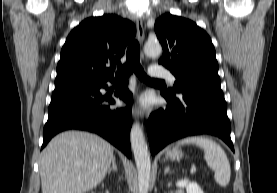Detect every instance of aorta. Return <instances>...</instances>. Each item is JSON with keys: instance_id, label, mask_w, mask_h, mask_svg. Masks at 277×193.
<instances>
[{"instance_id": "obj_1", "label": "aorta", "mask_w": 277, "mask_h": 193, "mask_svg": "<svg viewBox=\"0 0 277 193\" xmlns=\"http://www.w3.org/2000/svg\"><path fill=\"white\" fill-rule=\"evenodd\" d=\"M162 47L158 42L146 43L144 53L150 57L159 56ZM130 142L138 171L139 193H147L150 183L151 160L141 125L136 122L130 132Z\"/></svg>"}]
</instances>
